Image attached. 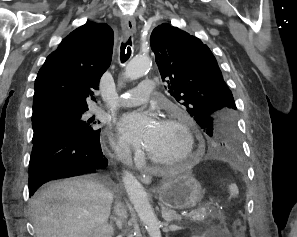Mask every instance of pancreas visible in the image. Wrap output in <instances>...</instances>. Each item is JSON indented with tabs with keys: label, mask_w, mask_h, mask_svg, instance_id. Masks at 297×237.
Segmentation results:
<instances>
[{
	"label": "pancreas",
	"mask_w": 297,
	"mask_h": 237,
	"mask_svg": "<svg viewBox=\"0 0 297 237\" xmlns=\"http://www.w3.org/2000/svg\"><path fill=\"white\" fill-rule=\"evenodd\" d=\"M214 213L210 212L206 207H199L197 210L193 211L192 215L189 216L191 221L202 222Z\"/></svg>",
	"instance_id": "cf45deb5"
}]
</instances>
